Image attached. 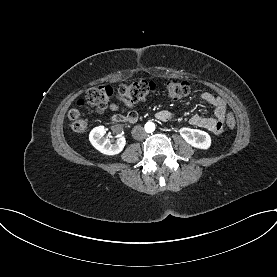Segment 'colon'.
Masks as SVG:
<instances>
[{
	"label": "colon",
	"mask_w": 277,
	"mask_h": 277,
	"mask_svg": "<svg viewBox=\"0 0 277 277\" xmlns=\"http://www.w3.org/2000/svg\"><path fill=\"white\" fill-rule=\"evenodd\" d=\"M165 91L172 100H178L185 97L190 92V85L186 81L170 79L165 83ZM157 89V85L153 81L137 80L130 83H122L117 88L120 97L130 101L139 102L144 100L149 94ZM113 88L109 85H100L89 89L84 99L77 102L68 112V118L72 121V129L76 133H83L88 129L89 122L87 119L80 118V108L86 103L94 105L98 108H105L113 96ZM229 128H233L236 122L233 112L228 111L224 117Z\"/></svg>",
	"instance_id": "colon-1"
}]
</instances>
